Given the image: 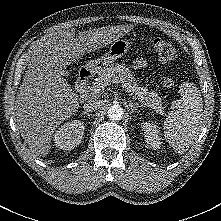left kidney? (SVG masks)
Returning <instances> with one entry per match:
<instances>
[{
  "instance_id": "1",
  "label": "left kidney",
  "mask_w": 221,
  "mask_h": 221,
  "mask_svg": "<svg viewBox=\"0 0 221 221\" xmlns=\"http://www.w3.org/2000/svg\"><path fill=\"white\" fill-rule=\"evenodd\" d=\"M142 128L147 144L153 149H160L162 143L158 136L159 131L157 125L151 122H145L143 123Z\"/></svg>"
}]
</instances>
